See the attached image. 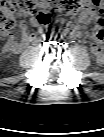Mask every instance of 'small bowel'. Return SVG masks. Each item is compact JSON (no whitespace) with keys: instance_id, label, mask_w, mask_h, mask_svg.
Returning <instances> with one entry per match:
<instances>
[{"instance_id":"c3829d8e","label":"small bowel","mask_w":104,"mask_h":137,"mask_svg":"<svg viewBox=\"0 0 104 137\" xmlns=\"http://www.w3.org/2000/svg\"><path fill=\"white\" fill-rule=\"evenodd\" d=\"M97 22H99V16L95 11H84L76 19L74 26L70 29L69 32L70 35L74 38L90 40V48L95 60L98 63H102L104 60L103 52L102 50L97 51L95 48V45L99 44L100 42L96 38L92 39L91 35L86 32L87 26ZM30 24L31 26L36 27L39 23L36 19H33L31 20ZM20 28L21 38L19 41L16 40V37L13 33H4V36L7 38V41L3 47L4 53H18L34 40L35 35L29 32V26L27 23L22 22Z\"/></svg>"}]
</instances>
